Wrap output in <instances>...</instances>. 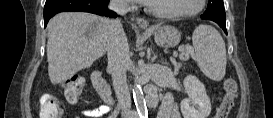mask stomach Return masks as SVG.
I'll list each match as a JSON object with an SVG mask.
<instances>
[{"instance_id":"0dacf381","label":"stomach","mask_w":273,"mask_h":118,"mask_svg":"<svg viewBox=\"0 0 273 118\" xmlns=\"http://www.w3.org/2000/svg\"><path fill=\"white\" fill-rule=\"evenodd\" d=\"M150 32L154 36L155 43L164 48L177 46L181 39L180 32L173 26L156 25L150 28Z\"/></svg>"}]
</instances>
